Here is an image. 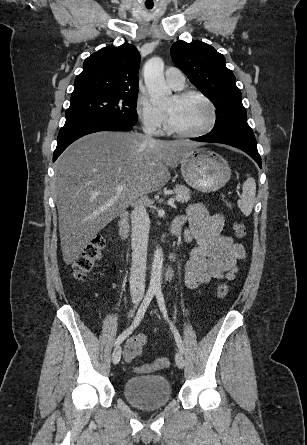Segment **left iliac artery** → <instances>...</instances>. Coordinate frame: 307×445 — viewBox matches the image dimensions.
Here are the masks:
<instances>
[{
  "label": "left iliac artery",
  "instance_id": "left-iliac-artery-1",
  "mask_svg": "<svg viewBox=\"0 0 307 445\" xmlns=\"http://www.w3.org/2000/svg\"><path fill=\"white\" fill-rule=\"evenodd\" d=\"M155 295H156V299H157L160 311L162 312L164 319L169 323L170 328L174 334L178 349L181 353H184V346H183L180 334H179L178 330L176 329L175 325L169 320L168 313H167L166 306H165L164 297H163L161 289H157L155 291Z\"/></svg>",
  "mask_w": 307,
  "mask_h": 445
}]
</instances>
